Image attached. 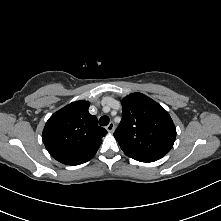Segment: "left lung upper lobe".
Wrapping results in <instances>:
<instances>
[{
    "mask_svg": "<svg viewBox=\"0 0 221 221\" xmlns=\"http://www.w3.org/2000/svg\"><path fill=\"white\" fill-rule=\"evenodd\" d=\"M122 120L114 133L121 149L129 157L158 160L173 147L175 125L157 102L142 93L122 99Z\"/></svg>",
    "mask_w": 221,
    "mask_h": 221,
    "instance_id": "obj_1",
    "label": "left lung upper lobe"
}]
</instances>
